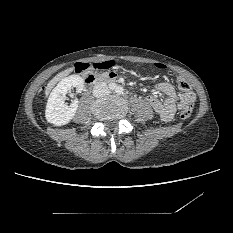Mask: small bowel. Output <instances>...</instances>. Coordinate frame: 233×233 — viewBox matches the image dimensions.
Returning a JSON list of instances; mask_svg holds the SVG:
<instances>
[{
	"label": "small bowel",
	"instance_id": "1",
	"mask_svg": "<svg viewBox=\"0 0 233 233\" xmlns=\"http://www.w3.org/2000/svg\"><path fill=\"white\" fill-rule=\"evenodd\" d=\"M97 63L110 64V67L101 70H112L115 66V63L112 60L95 62L93 64L96 65ZM109 75L115 80L116 74L114 71H111ZM181 79L184 78H182L180 75H177V81ZM157 93H161L164 96L163 100L158 98ZM147 101L152 109L165 122L172 120L175 112L181 109L183 104L182 99L179 97L173 86L167 83L160 84L157 88V91L150 92L147 96Z\"/></svg>",
	"mask_w": 233,
	"mask_h": 233
}]
</instances>
